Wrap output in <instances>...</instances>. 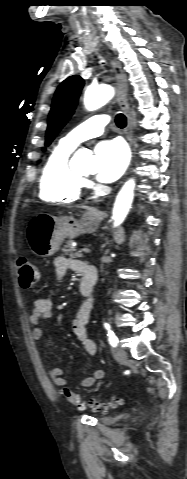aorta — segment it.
<instances>
[{"label":"aorta","mask_w":187,"mask_h":479,"mask_svg":"<svg viewBox=\"0 0 187 479\" xmlns=\"http://www.w3.org/2000/svg\"><path fill=\"white\" fill-rule=\"evenodd\" d=\"M113 96L114 89L109 85L90 86L85 91L84 106L88 111L96 110L104 106ZM84 153V150L80 149L74 156V160L79 167L89 173L98 172L100 169L99 160L93 156H86ZM134 188V179H129L119 191L112 213L114 227L121 225L125 220L133 201Z\"/></svg>","instance_id":"1"}]
</instances>
